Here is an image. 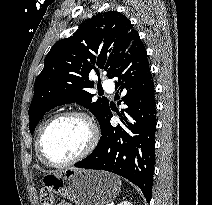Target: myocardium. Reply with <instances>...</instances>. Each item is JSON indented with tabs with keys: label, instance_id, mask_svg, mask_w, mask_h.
Listing matches in <instances>:
<instances>
[{
	"label": "myocardium",
	"instance_id": "1",
	"mask_svg": "<svg viewBox=\"0 0 212 205\" xmlns=\"http://www.w3.org/2000/svg\"><path fill=\"white\" fill-rule=\"evenodd\" d=\"M72 117L80 118L86 123L90 132L89 141L87 145L85 146V148L75 157L63 162L53 161L45 153L44 146H43L44 136L47 130L50 128V126H52L55 122L64 118H72ZM98 141H99V129L96 123L94 122V120L87 113L83 111H77V110L65 111L53 116L43 125L37 138V150L39 152L41 159L46 164L54 166V167H65V166L75 164L81 161L82 159L86 158L87 156H89L93 152V150L96 148Z\"/></svg>",
	"mask_w": 212,
	"mask_h": 205
}]
</instances>
